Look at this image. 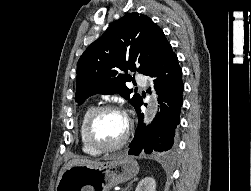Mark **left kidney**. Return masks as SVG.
<instances>
[{
  "mask_svg": "<svg viewBox=\"0 0 251 191\" xmlns=\"http://www.w3.org/2000/svg\"><path fill=\"white\" fill-rule=\"evenodd\" d=\"M135 191H156V181L154 177H144V179H141Z\"/></svg>",
  "mask_w": 251,
  "mask_h": 191,
  "instance_id": "5707ae66",
  "label": "left kidney"
}]
</instances>
